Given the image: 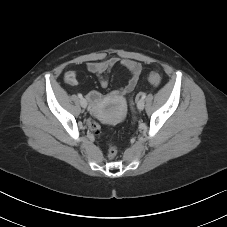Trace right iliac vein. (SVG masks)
Instances as JSON below:
<instances>
[{
  "label": "right iliac vein",
  "mask_w": 227,
  "mask_h": 227,
  "mask_svg": "<svg viewBox=\"0 0 227 227\" xmlns=\"http://www.w3.org/2000/svg\"><path fill=\"white\" fill-rule=\"evenodd\" d=\"M80 105H81V107L86 108L87 107V101H86V99L82 98L80 100Z\"/></svg>",
  "instance_id": "1"
}]
</instances>
